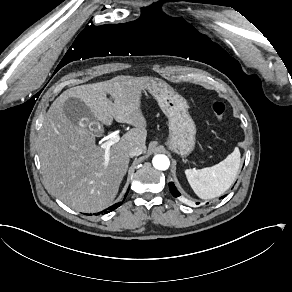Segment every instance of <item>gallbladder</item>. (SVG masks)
Masks as SVG:
<instances>
[{
    "mask_svg": "<svg viewBox=\"0 0 292 292\" xmlns=\"http://www.w3.org/2000/svg\"><path fill=\"white\" fill-rule=\"evenodd\" d=\"M63 111L72 124L84 129L97 121L93 112L80 98L69 97L64 102Z\"/></svg>",
    "mask_w": 292,
    "mask_h": 292,
    "instance_id": "bac80fb5",
    "label": "gallbladder"
}]
</instances>
